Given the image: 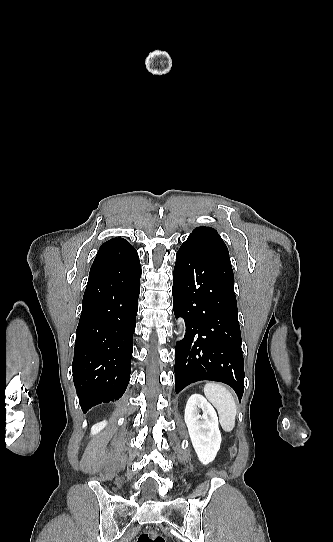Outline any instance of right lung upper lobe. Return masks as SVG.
Wrapping results in <instances>:
<instances>
[{
    "label": "right lung upper lobe",
    "instance_id": "obj_1",
    "mask_svg": "<svg viewBox=\"0 0 333 542\" xmlns=\"http://www.w3.org/2000/svg\"><path fill=\"white\" fill-rule=\"evenodd\" d=\"M123 240H124V239H122V238H113V239H111V240L105 242L103 245H104V246H108V245H111V244H114V243H117V242H121V241H123Z\"/></svg>",
    "mask_w": 333,
    "mask_h": 542
}]
</instances>
